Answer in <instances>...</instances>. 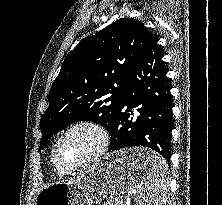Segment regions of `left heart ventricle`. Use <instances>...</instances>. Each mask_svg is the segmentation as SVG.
Returning <instances> with one entry per match:
<instances>
[{
	"label": "left heart ventricle",
	"mask_w": 222,
	"mask_h": 205,
	"mask_svg": "<svg viewBox=\"0 0 222 205\" xmlns=\"http://www.w3.org/2000/svg\"><path fill=\"white\" fill-rule=\"evenodd\" d=\"M98 136L89 129H77L67 135L57 149L58 162L64 167H72L95 151Z\"/></svg>",
	"instance_id": "obj_1"
}]
</instances>
